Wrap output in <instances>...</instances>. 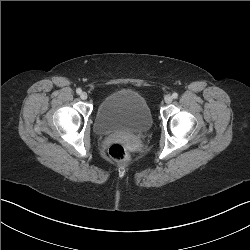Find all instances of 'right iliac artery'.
<instances>
[{
  "mask_svg": "<svg viewBox=\"0 0 250 250\" xmlns=\"http://www.w3.org/2000/svg\"><path fill=\"white\" fill-rule=\"evenodd\" d=\"M76 93H77V94H81V93H82V90H81L80 88H78V89L76 90Z\"/></svg>",
  "mask_w": 250,
  "mask_h": 250,
  "instance_id": "obj_1",
  "label": "right iliac artery"
}]
</instances>
